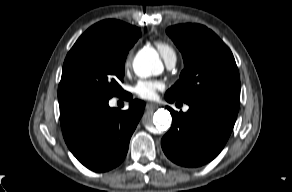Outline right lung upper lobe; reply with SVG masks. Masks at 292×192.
I'll use <instances>...</instances> for the list:
<instances>
[{
	"instance_id": "right-lung-upper-lobe-1",
	"label": "right lung upper lobe",
	"mask_w": 292,
	"mask_h": 192,
	"mask_svg": "<svg viewBox=\"0 0 292 192\" xmlns=\"http://www.w3.org/2000/svg\"><path fill=\"white\" fill-rule=\"evenodd\" d=\"M97 25L102 26L107 36L117 43H129L141 36L139 28L122 21L110 19L101 21Z\"/></svg>"
}]
</instances>
